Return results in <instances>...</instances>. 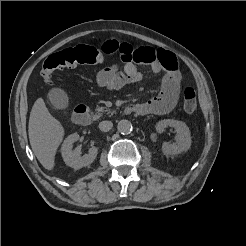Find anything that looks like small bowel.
Returning a JSON list of instances; mask_svg holds the SVG:
<instances>
[{"mask_svg":"<svg viewBox=\"0 0 246 246\" xmlns=\"http://www.w3.org/2000/svg\"><path fill=\"white\" fill-rule=\"evenodd\" d=\"M101 52L106 55H118L123 67L120 70L117 65H112L99 71L96 81L100 87L118 90L128 84L140 82L143 74L137 69L135 63L147 64L153 73H164V76L158 95L135 104L136 112L142 115H164L174 109L178 102L182 77L177 58L172 52L151 47L135 49L129 43L114 39L105 41Z\"/></svg>","mask_w":246,"mask_h":246,"instance_id":"obj_1","label":"small bowel"}]
</instances>
